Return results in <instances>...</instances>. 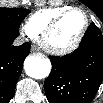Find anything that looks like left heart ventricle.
<instances>
[{
	"mask_svg": "<svg viewBox=\"0 0 103 103\" xmlns=\"http://www.w3.org/2000/svg\"><path fill=\"white\" fill-rule=\"evenodd\" d=\"M84 27V16L73 12L61 21L48 38V44L54 48H64L71 45L81 34Z\"/></svg>",
	"mask_w": 103,
	"mask_h": 103,
	"instance_id": "b2bd125f",
	"label": "left heart ventricle"
}]
</instances>
